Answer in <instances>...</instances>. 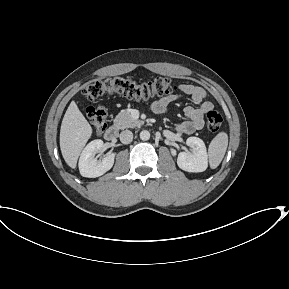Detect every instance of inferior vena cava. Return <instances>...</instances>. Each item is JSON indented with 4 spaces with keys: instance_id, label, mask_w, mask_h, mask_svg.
I'll return each instance as SVG.
<instances>
[{
    "instance_id": "inferior-vena-cava-1",
    "label": "inferior vena cava",
    "mask_w": 289,
    "mask_h": 289,
    "mask_svg": "<svg viewBox=\"0 0 289 289\" xmlns=\"http://www.w3.org/2000/svg\"><path fill=\"white\" fill-rule=\"evenodd\" d=\"M133 140V133L130 130H124L120 133V141L123 144H129Z\"/></svg>"
}]
</instances>
